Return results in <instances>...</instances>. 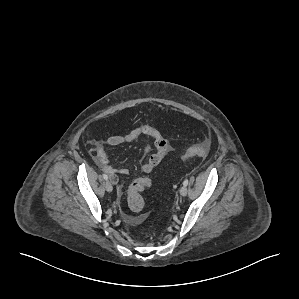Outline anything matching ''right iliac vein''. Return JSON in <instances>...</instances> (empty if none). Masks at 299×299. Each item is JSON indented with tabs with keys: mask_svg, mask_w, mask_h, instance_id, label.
Returning a JSON list of instances; mask_svg holds the SVG:
<instances>
[{
	"mask_svg": "<svg viewBox=\"0 0 299 299\" xmlns=\"http://www.w3.org/2000/svg\"><path fill=\"white\" fill-rule=\"evenodd\" d=\"M105 188L108 192H111L113 190V186H112V183L111 181H106L105 183Z\"/></svg>",
	"mask_w": 299,
	"mask_h": 299,
	"instance_id": "1",
	"label": "right iliac vein"
}]
</instances>
